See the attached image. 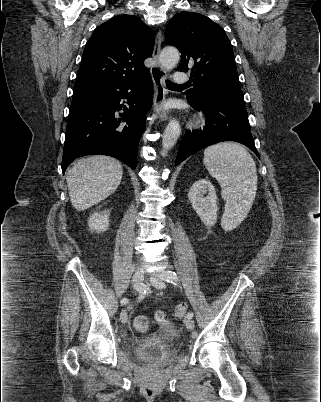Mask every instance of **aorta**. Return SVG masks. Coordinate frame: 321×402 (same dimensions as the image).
<instances>
[{
	"label": "aorta",
	"instance_id": "aorta-1",
	"mask_svg": "<svg viewBox=\"0 0 321 402\" xmlns=\"http://www.w3.org/2000/svg\"><path fill=\"white\" fill-rule=\"evenodd\" d=\"M180 53L175 47H165L160 53V64L166 70H172L179 62ZM181 134V127L179 121L172 119L163 134L162 138V152L165 156L169 149H171L177 142Z\"/></svg>",
	"mask_w": 321,
	"mask_h": 402
}]
</instances>
